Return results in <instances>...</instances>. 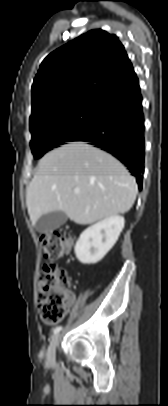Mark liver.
Returning a JSON list of instances; mask_svg holds the SVG:
<instances>
[{
    "instance_id": "1",
    "label": "liver",
    "mask_w": 168,
    "mask_h": 406,
    "mask_svg": "<svg viewBox=\"0 0 168 406\" xmlns=\"http://www.w3.org/2000/svg\"><path fill=\"white\" fill-rule=\"evenodd\" d=\"M137 192L135 179L117 159L87 143L72 142L39 161L26 205L33 225L54 211L85 225L128 212Z\"/></svg>"
}]
</instances>
